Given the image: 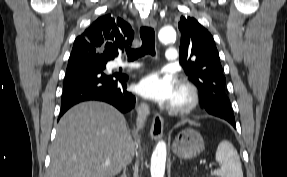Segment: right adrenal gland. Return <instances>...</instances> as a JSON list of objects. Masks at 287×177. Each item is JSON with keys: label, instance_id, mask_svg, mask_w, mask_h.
<instances>
[{"label": "right adrenal gland", "instance_id": "2a0ac1e0", "mask_svg": "<svg viewBox=\"0 0 287 177\" xmlns=\"http://www.w3.org/2000/svg\"><path fill=\"white\" fill-rule=\"evenodd\" d=\"M126 171H127V167H125V168L123 169V174H122L120 177H127Z\"/></svg>", "mask_w": 287, "mask_h": 177}]
</instances>
